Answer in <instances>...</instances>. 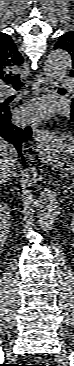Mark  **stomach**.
Wrapping results in <instances>:
<instances>
[{
	"label": "stomach",
	"instance_id": "obj_1",
	"mask_svg": "<svg viewBox=\"0 0 74 366\" xmlns=\"http://www.w3.org/2000/svg\"><path fill=\"white\" fill-rule=\"evenodd\" d=\"M52 147H56V146L52 144Z\"/></svg>",
	"mask_w": 74,
	"mask_h": 366
}]
</instances>
